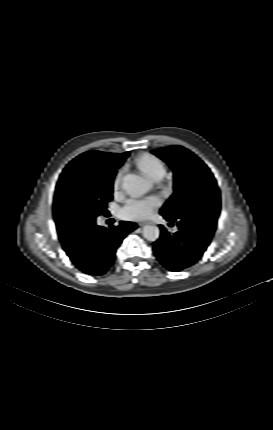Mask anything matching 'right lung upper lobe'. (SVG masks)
<instances>
[{"mask_svg":"<svg viewBox=\"0 0 273 430\" xmlns=\"http://www.w3.org/2000/svg\"><path fill=\"white\" fill-rule=\"evenodd\" d=\"M127 153L115 154L100 151H89L76 157L73 162L95 171H114L122 165Z\"/></svg>","mask_w":273,"mask_h":430,"instance_id":"obj_1","label":"right lung upper lobe"}]
</instances>
